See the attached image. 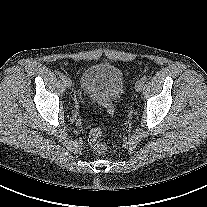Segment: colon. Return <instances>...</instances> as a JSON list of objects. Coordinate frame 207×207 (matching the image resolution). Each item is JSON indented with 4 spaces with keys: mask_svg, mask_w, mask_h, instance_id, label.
<instances>
[{
    "mask_svg": "<svg viewBox=\"0 0 207 207\" xmlns=\"http://www.w3.org/2000/svg\"><path fill=\"white\" fill-rule=\"evenodd\" d=\"M100 103L107 108L109 113L113 114V108L110 101L101 99ZM88 143L90 147L99 154L105 153L107 149L106 144L102 141V131L100 129H93L89 133Z\"/></svg>",
    "mask_w": 207,
    "mask_h": 207,
    "instance_id": "obj_1",
    "label": "colon"
}]
</instances>
